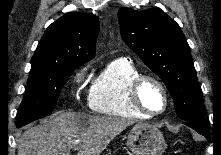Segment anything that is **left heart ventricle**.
<instances>
[{"label":"left heart ventricle","mask_w":221,"mask_h":155,"mask_svg":"<svg viewBox=\"0 0 221 155\" xmlns=\"http://www.w3.org/2000/svg\"><path fill=\"white\" fill-rule=\"evenodd\" d=\"M140 97L143 105L153 112H157L164 107V96L160 88L153 82H145L141 88Z\"/></svg>","instance_id":"1"}]
</instances>
